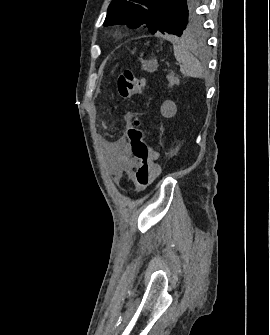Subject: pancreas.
<instances>
[{"label":"pancreas","mask_w":270,"mask_h":335,"mask_svg":"<svg viewBox=\"0 0 270 335\" xmlns=\"http://www.w3.org/2000/svg\"><path fill=\"white\" fill-rule=\"evenodd\" d=\"M168 82H169V88H172V86H174V84H177V86H179L180 82H179V78H176L175 74H173V72H171V74H168V76H166Z\"/></svg>","instance_id":"1"}]
</instances>
